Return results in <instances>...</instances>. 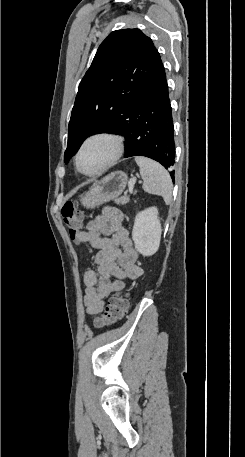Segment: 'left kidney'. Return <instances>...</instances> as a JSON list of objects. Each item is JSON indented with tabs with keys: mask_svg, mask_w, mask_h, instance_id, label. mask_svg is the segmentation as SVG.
Wrapping results in <instances>:
<instances>
[{
	"mask_svg": "<svg viewBox=\"0 0 245 457\" xmlns=\"http://www.w3.org/2000/svg\"><path fill=\"white\" fill-rule=\"evenodd\" d=\"M161 222L156 206L145 208L136 214L132 231L135 249L144 257L157 253L161 239Z\"/></svg>",
	"mask_w": 245,
	"mask_h": 457,
	"instance_id": "5707ae66",
	"label": "left kidney"
}]
</instances>
